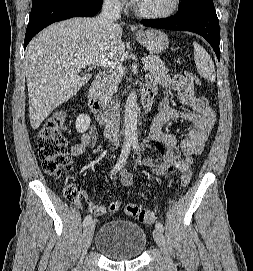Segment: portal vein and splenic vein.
<instances>
[{"instance_id":"obj_1","label":"portal vein and splenic vein","mask_w":253,"mask_h":271,"mask_svg":"<svg viewBox=\"0 0 253 271\" xmlns=\"http://www.w3.org/2000/svg\"><path fill=\"white\" fill-rule=\"evenodd\" d=\"M90 64L97 65V66H103V67H109V68H111L115 71H118L120 73H123V71H124V67H123L122 63L110 61L107 59L95 58V59H91V60L76 61L75 62L76 67L79 69H83L87 65H90ZM149 68H150V64L145 62L144 63V70H148Z\"/></svg>"}]
</instances>
